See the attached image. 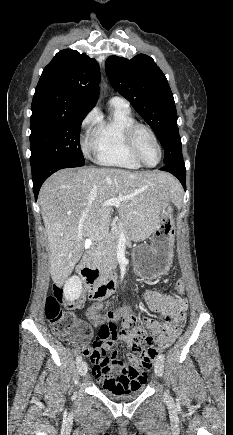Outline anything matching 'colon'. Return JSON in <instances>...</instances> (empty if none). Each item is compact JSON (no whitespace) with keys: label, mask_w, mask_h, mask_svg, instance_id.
I'll list each match as a JSON object with an SVG mask.
<instances>
[{"label":"colon","mask_w":233,"mask_h":435,"mask_svg":"<svg viewBox=\"0 0 233 435\" xmlns=\"http://www.w3.org/2000/svg\"><path fill=\"white\" fill-rule=\"evenodd\" d=\"M83 282L90 283L91 278L85 279ZM65 284L57 282L53 285V292L46 298L45 315L50 323L53 333L62 341H70L76 337L80 339V353L89 356L92 363L108 364L110 356L106 352L102 337L98 334L92 337L86 326L77 322L76 315L71 309H62L60 305L64 301ZM83 306V301H77L70 304L71 308H80ZM88 314L94 317L102 325L106 321L112 319L114 313L108 311L103 314L97 313V309L90 308ZM135 317L130 312L124 314L122 318V327L124 333L132 338L133 351L137 353L135 359H130L128 363L122 361L123 367L135 372L136 366H146L148 370L152 369L154 359L161 352V349L155 345L154 332L150 329L134 328ZM89 341L92 342L93 349L89 348ZM139 343H144L140 346ZM168 343H166L167 345ZM112 384L116 386L118 392H131L138 385L132 381V378L126 375L119 376L112 380Z\"/></svg>","instance_id":"1"}]
</instances>
